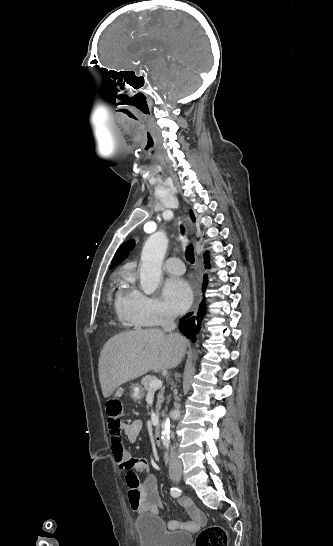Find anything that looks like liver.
<instances>
[{"label":"liver","mask_w":333,"mask_h":546,"mask_svg":"<svg viewBox=\"0 0 333 546\" xmlns=\"http://www.w3.org/2000/svg\"><path fill=\"white\" fill-rule=\"evenodd\" d=\"M185 351L182 337L159 329H145L116 335L104 345L99 357V381L105 398L123 383L149 371L175 368Z\"/></svg>","instance_id":"1"}]
</instances>
